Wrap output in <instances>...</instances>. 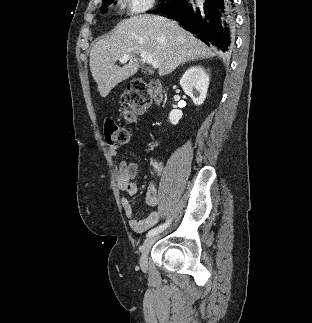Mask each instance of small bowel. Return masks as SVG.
<instances>
[{"instance_id":"obj_1","label":"small bowel","mask_w":312,"mask_h":323,"mask_svg":"<svg viewBox=\"0 0 312 323\" xmlns=\"http://www.w3.org/2000/svg\"><path fill=\"white\" fill-rule=\"evenodd\" d=\"M110 155L115 157L117 155V149L111 148ZM137 173V163L121 161L118 165L116 182L119 190L125 194L121 200V205L129 220L130 228L136 232H144L155 226L161 220L162 213L159 210H155L145 219L140 220L136 217L130 199L135 197L138 193V187L135 183ZM146 201L151 207L158 206L157 187L154 183H150L147 186Z\"/></svg>"}]
</instances>
